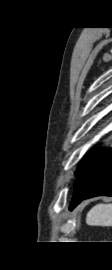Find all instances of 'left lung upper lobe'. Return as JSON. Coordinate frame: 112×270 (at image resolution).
Segmentation results:
<instances>
[{
	"label": "left lung upper lobe",
	"mask_w": 112,
	"mask_h": 270,
	"mask_svg": "<svg viewBox=\"0 0 112 270\" xmlns=\"http://www.w3.org/2000/svg\"><path fill=\"white\" fill-rule=\"evenodd\" d=\"M111 149L99 151L95 154H90L85 157V159L79 164L77 171L75 172V175L78 177L81 173H83L86 169H88L90 166L95 164L97 161H99L103 156H105Z\"/></svg>",
	"instance_id": "5c2ea615"
}]
</instances>
